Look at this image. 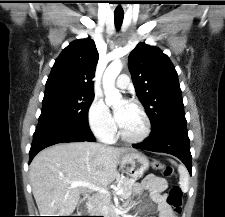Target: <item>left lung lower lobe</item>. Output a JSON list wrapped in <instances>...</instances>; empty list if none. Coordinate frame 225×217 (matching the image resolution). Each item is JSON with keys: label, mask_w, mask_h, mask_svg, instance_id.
I'll return each mask as SVG.
<instances>
[{"label": "left lung lower lobe", "mask_w": 225, "mask_h": 217, "mask_svg": "<svg viewBox=\"0 0 225 217\" xmlns=\"http://www.w3.org/2000/svg\"><path fill=\"white\" fill-rule=\"evenodd\" d=\"M186 119H176L152 129L150 136L133 147L153 152H164L179 158L191 174L192 156L187 135Z\"/></svg>", "instance_id": "0a47b994"}]
</instances>
